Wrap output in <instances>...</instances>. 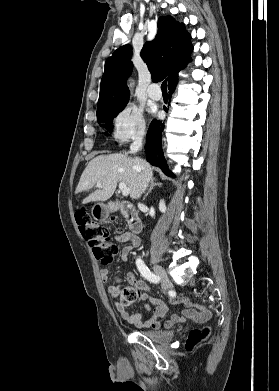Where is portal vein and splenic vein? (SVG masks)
Listing matches in <instances>:
<instances>
[{"label": "portal vein and splenic vein", "instance_id": "portal-vein-and-splenic-vein-1", "mask_svg": "<svg viewBox=\"0 0 279 391\" xmlns=\"http://www.w3.org/2000/svg\"><path fill=\"white\" fill-rule=\"evenodd\" d=\"M97 185L100 186L101 182H97ZM119 189L121 190L123 196H128L130 194V189L123 182L119 183Z\"/></svg>", "mask_w": 279, "mask_h": 391}]
</instances>
